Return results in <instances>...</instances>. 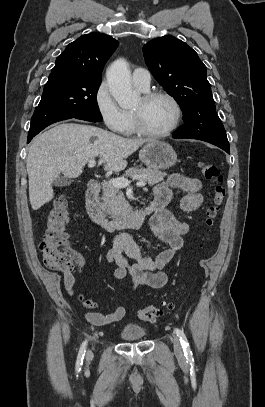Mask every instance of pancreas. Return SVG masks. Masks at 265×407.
Masks as SVG:
<instances>
[{
	"mask_svg": "<svg viewBox=\"0 0 265 407\" xmlns=\"http://www.w3.org/2000/svg\"><path fill=\"white\" fill-rule=\"evenodd\" d=\"M166 175V173L157 169L132 167L126 170L122 178L137 177L139 180L147 182L149 185H154L161 182ZM102 190L103 210L114 219L123 217L126 211L130 208V205L125 199L121 189L114 187L111 183H103Z\"/></svg>",
	"mask_w": 265,
	"mask_h": 407,
	"instance_id": "obj_1",
	"label": "pancreas"
}]
</instances>
